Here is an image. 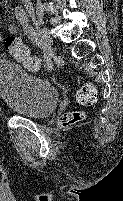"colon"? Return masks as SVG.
Segmentation results:
<instances>
[{
	"mask_svg": "<svg viewBox=\"0 0 123 201\" xmlns=\"http://www.w3.org/2000/svg\"><path fill=\"white\" fill-rule=\"evenodd\" d=\"M4 48L8 51L16 60L23 62L26 67L31 70H35L39 66V62L36 58L32 57L28 48L21 42V40L15 36H9L4 42ZM77 102L84 106H91L97 102V91L94 85L91 83H84L78 89L76 94ZM82 118L80 113H67L60 119L62 127H69L78 123Z\"/></svg>",
	"mask_w": 123,
	"mask_h": 201,
	"instance_id": "colon-1",
	"label": "colon"
}]
</instances>
